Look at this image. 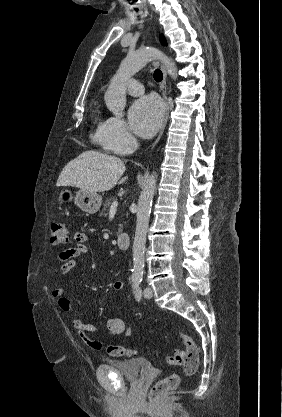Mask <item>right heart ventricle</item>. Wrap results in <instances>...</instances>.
I'll list each match as a JSON object with an SVG mask.
<instances>
[{"mask_svg": "<svg viewBox=\"0 0 282 417\" xmlns=\"http://www.w3.org/2000/svg\"><path fill=\"white\" fill-rule=\"evenodd\" d=\"M110 120L111 118L108 117H96V130L94 138L105 146Z\"/></svg>", "mask_w": 282, "mask_h": 417, "instance_id": "right-heart-ventricle-1", "label": "right heart ventricle"}]
</instances>
